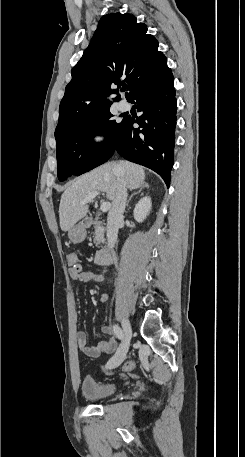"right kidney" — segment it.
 Instances as JSON below:
<instances>
[{"mask_svg": "<svg viewBox=\"0 0 245 457\" xmlns=\"http://www.w3.org/2000/svg\"><path fill=\"white\" fill-rule=\"evenodd\" d=\"M151 206L152 202L150 196H143V198H140L133 210L135 220H137V222H143L144 218L149 214Z\"/></svg>", "mask_w": 245, "mask_h": 457, "instance_id": "ca27d5eb", "label": "right kidney"}]
</instances>
